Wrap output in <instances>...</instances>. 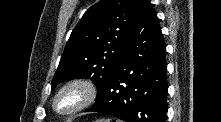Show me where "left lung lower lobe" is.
Returning a JSON list of instances; mask_svg holds the SVG:
<instances>
[{
  "mask_svg": "<svg viewBox=\"0 0 221 122\" xmlns=\"http://www.w3.org/2000/svg\"><path fill=\"white\" fill-rule=\"evenodd\" d=\"M166 46L149 0H141L137 18L106 88L86 110L125 122H165Z\"/></svg>",
  "mask_w": 221,
  "mask_h": 122,
  "instance_id": "obj_1",
  "label": "left lung lower lobe"
}]
</instances>
